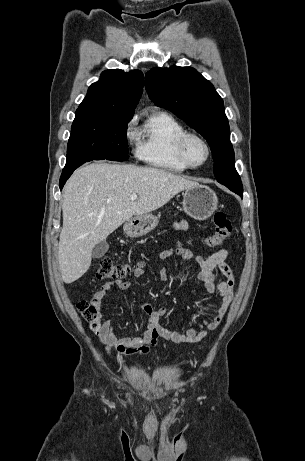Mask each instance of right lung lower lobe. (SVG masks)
Returning a JSON list of instances; mask_svg holds the SVG:
<instances>
[{
  "label": "right lung lower lobe",
  "mask_w": 305,
  "mask_h": 461,
  "mask_svg": "<svg viewBox=\"0 0 305 461\" xmlns=\"http://www.w3.org/2000/svg\"><path fill=\"white\" fill-rule=\"evenodd\" d=\"M79 166H74V167H71V168H64L63 169V172H62V175H61V178H60V189L63 188L66 180L70 177V175L73 173V171Z\"/></svg>",
  "instance_id": "1"
}]
</instances>
